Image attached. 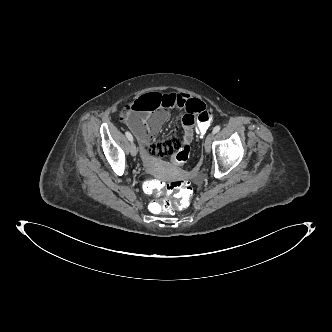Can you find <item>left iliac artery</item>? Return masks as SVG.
Wrapping results in <instances>:
<instances>
[{
  "label": "left iliac artery",
  "mask_w": 332,
  "mask_h": 332,
  "mask_svg": "<svg viewBox=\"0 0 332 332\" xmlns=\"http://www.w3.org/2000/svg\"><path fill=\"white\" fill-rule=\"evenodd\" d=\"M220 129H221V127L220 126H215L214 128H213V131H212V133H217V132H219L220 131Z\"/></svg>",
  "instance_id": "1"
}]
</instances>
